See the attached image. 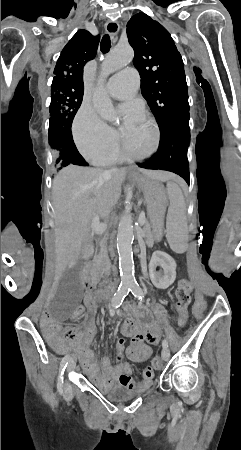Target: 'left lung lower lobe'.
<instances>
[{
  "label": "left lung lower lobe",
  "instance_id": "left-lung-lower-lobe-1",
  "mask_svg": "<svg viewBox=\"0 0 241 450\" xmlns=\"http://www.w3.org/2000/svg\"><path fill=\"white\" fill-rule=\"evenodd\" d=\"M160 127V144L153 157L141 168L161 169L180 175L189 184L187 149L189 140V109L180 110Z\"/></svg>",
  "mask_w": 241,
  "mask_h": 450
}]
</instances>
